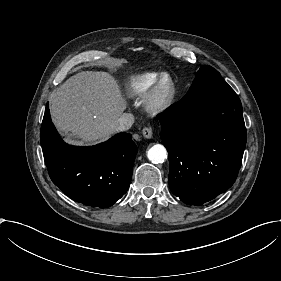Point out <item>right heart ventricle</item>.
Listing matches in <instances>:
<instances>
[{
  "label": "right heart ventricle",
  "instance_id": "obj_1",
  "mask_svg": "<svg viewBox=\"0 0 281 281\" xmlns=\"http://www.w3.org/2000/svg\"><path fill=\"white\" fill-rule=\"evenodd\" d=\"M160 76V73L151 72L131 77L125 82L124 89L130 97H139L148 92Z\"/></svg>",
  "mask_w": 281,
  "mask_h": 281
}]
</instances>
